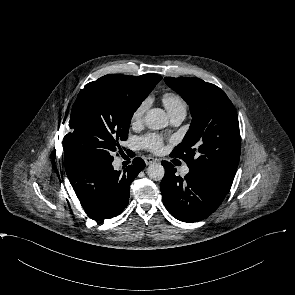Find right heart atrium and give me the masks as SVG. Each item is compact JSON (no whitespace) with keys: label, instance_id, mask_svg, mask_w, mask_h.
Here are the masks:
<instances>
[{"label":"right heart atrium","instance_id":"d8ad5b80","mask_svg":"<svg viewBox=\"0 0 295 295\" xmlns=\"http://www.w3.org/2000/svg\"><path fill=\"white\" fill-rule=\"evenodd\" d=\"M151 104V99L149 97L143 99L133 110L131 115V124L133 126L138 125L142 122L143 117L147 109Z\"/></svg>","mask_w":295,"mask_h":295}]
</instances>
